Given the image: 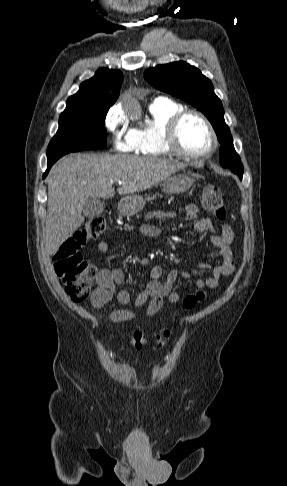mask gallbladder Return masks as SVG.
<instances>
[{"instance_id": "1", "label": "gallbladder", "mask_w": 287, "mask_h": 486, "mask_svg": "<svg viewBox=\"0 0 287 486\" xmlns=\"http://www.w3.org/2000/svg\"><path fill=\"white\" fill-rule=\"evenodd\" d=\"M104 211V203L98 198H89L83 205V215L85 217H95Z\"/></svg>"}]
</instances>
